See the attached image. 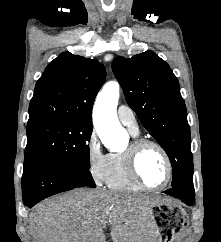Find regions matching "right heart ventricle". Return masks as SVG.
Wrapping results in <instances>:
<instances>
[{"label":"right heart ventricle","instance_id":"obj_1","mask_svg":"<svg viewBox=\"0 0 221 242\" xmlns=\"http://www.w3.org/2000/svg\"><path fill=\"white\" fill-rule=\"evenodd\" d=\"M105 182L109 188L115 190L139 191L142 189L129 175L124 153L109 154Z\"/></svg>","mask_w":221,"mask_h":242}]
</instances>
